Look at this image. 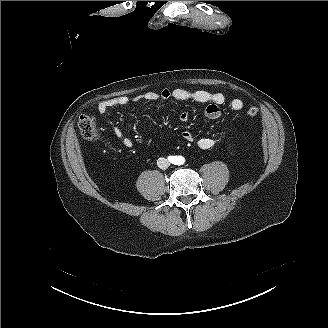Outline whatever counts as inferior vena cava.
I'll use <instances>...</instances> for the list:
<instances>
[{
	"label": "inferior vena cava",
	"mask_w": 328,
	"mask_h": 328,
	"mask_svg": "<svg viewBox=\"0 0 328 328\" xmlns=\"http://www.w3.org/2000/svg\"><path fill=\"white\" fill-rule=\"evenodd\" d=\"M157 165L160 168L166 169V168H168L170 166V162L166 158H159L157 160Z\"/></svg>",
	"instance_id": "602c4592"
}]
</instances>
